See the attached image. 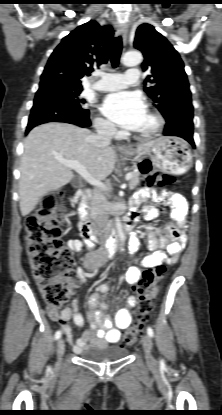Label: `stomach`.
<instances>
[{
	"label": "stomach",
	"instance_id": "1",
	"mask_svg": "<svg viewBox=\"0 0 222 415\" xmlns=\"http://www.w3.org/2000/svg\"><path fill=\"white\" fill-rule=\"evenodd\" d=\"M137 158L149 157L153 165L164 172L182 175L192 167V154L188 144L178 137H162L151 141L146 151H128Z\"/></svg>",
	"mask_w": 222,
	"mask_h": 415
}]
</instances>
